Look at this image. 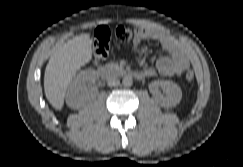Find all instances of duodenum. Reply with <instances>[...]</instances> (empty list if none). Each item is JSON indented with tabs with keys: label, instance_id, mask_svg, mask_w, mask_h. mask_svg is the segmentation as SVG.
<instances>
[{
	"label": "duodenum",
	"instance_id": "obj_1",
	"mask_svg": "<svg viewBox=\"0 0 243 167\" xmlns=\"http://www.w3.org/2000/svg\"><path fill=\"white\" fill-rule=\"evenodd\" d=\"M97 73L100 76H114L116 74L131 76L137 79H142L145 74L142 71H134V70H126L125 68H116V67H106V66H99L97 68Z\"/></svg>",
	"mask_w": 243,
	"mask_h": 167
}]
</instances>
